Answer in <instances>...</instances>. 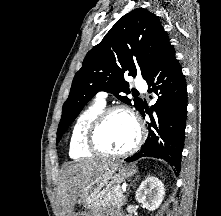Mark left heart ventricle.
Segmentation results:
<instances>
[{"label":"left heart ventricle","mask_w":221,"mask_h":216,"mask_svg":"<svg viewBox=\"0 0 221 216\" xmlns=\"http://www.w3.org/2000/svg\"><path fill=\"white\" fill-rule=\"evenodd\" d=\"M136 135L137 131L132 119L123 112H117L102 125L98 142L109 152H121L133 144Z\"/></svg>","instance_id":"left-heart-ventricle-1"}]
</instances>
